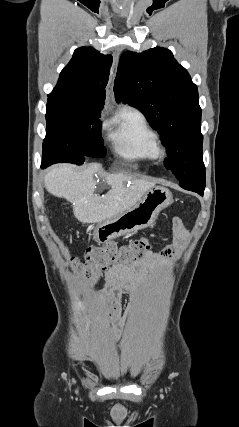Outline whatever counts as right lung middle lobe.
Segmentation results:
<instances>
[{"label":"right lung middle lobe","instance_id":"1","mask_svg":"<svg viewBox=\"0 0 239 427\" xmlns=\"http://www.w3.org/2000/svg\"><path fill=\"white\" fill-rule=\"evenodd\" d=\"M101 110L47 104V129L42 166L58 162L84 163L85 157L103 158Z\"/></svg>","mask_w":239,"mask_h":427}]
</instances>
